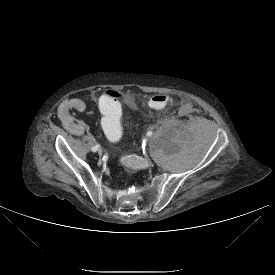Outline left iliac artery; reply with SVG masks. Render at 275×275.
<instances>
[{"instance_id": "44dca946", "label": "left iliac artery", "mask_w": 275, "mask_h": 275, "mask_svg": "<svg viewBox=\"0 0 275 275\" xmlns=\"http://www.w3.org/2000/svg\"><path fill=\"white\" fill-rule=\"evenodd\" d=\"M152 135V132L151 131H148L147 132V136H151Z\"/></svg>"}]
</instances>
